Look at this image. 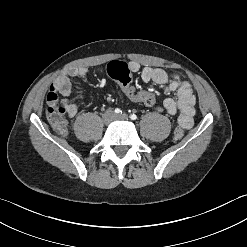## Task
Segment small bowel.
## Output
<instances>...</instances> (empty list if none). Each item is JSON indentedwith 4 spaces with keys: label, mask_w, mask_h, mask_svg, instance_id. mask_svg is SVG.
<instances>
[{
    "label": "small bowel",
    "mask_w": 247,
    "mask_h": 247,
    "mask_svg": "<svg viewBox=\"0 0 247 247\" xmlns=\"http://www.w3.org/2000/svg\"><path fill=\"white\" fill-rule=\"evenodd\" d=\"M130 73L140 72L141 79L144 82H153L161 85L166 93L176 92L177 99L166 98L162 106L155 107L158 111H165L170 115L179 114L178 122L185 128L193 126L195 115V95L190 82L183 80L177 73L169 74L161 68L143 67L136 62L127 64ZM103 70L100 69V72ZM89 70L85 67H72L62 73L52 84L51 91L62 96L61 103L66 109L68 117H73L77 113L75 104L69 102L68 98L73 93L71 79L73 77H84L88 75Z\"/></svg>",
    "instance_id": "c3829d8e"
}]
</instances>
